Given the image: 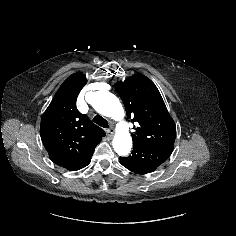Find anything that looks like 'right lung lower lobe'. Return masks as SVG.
<instances>
[{"instance_id":"1","label":"right lung lower lobe","mask_w":236,"mask_h":236,"mask_svg":"<svg viewBox=\"0 0 236 236\" xmlns=\"http://www.w3.org/2000/svg\"><path fill=\"white\" fill-rule=\"evenodd\" d=\"M93 152H94V149L86 152L81 157L73 160L72 162H70L62 167L66 168L67 170H70V171L80 170V169L86 167L90 163Z\"/></svg>"}]
</instances>
